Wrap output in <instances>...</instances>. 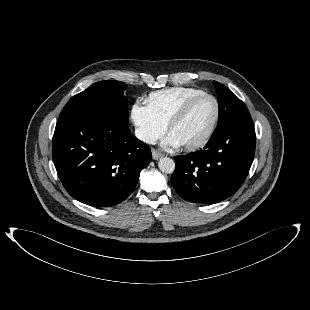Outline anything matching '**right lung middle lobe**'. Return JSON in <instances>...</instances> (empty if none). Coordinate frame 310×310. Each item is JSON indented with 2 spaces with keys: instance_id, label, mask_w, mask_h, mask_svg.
Listing matches in <instances>:
<instances>
[{
  "instance_id": "right-lung-middle-lobe-1",
  "label": "right lung middle lobe",
  "mask_w": 310,
  "mask_h": 310,
  "mask_svg": "<svg viewBox=\"0 0 310 310\" xmlns=\"http://www.w3.org/2000/svg\"><path fill=\"white\" fill-rule=\"evenodd\" d=\"M126 84L119 81H99L73 96L59 118L75 114L103 115L128 123V103L124 97Z\"/></svg>"
}]
</instances>
